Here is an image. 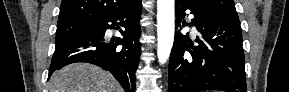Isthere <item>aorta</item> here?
<instances>
[{
  "mask_svg": "<svg viewBox=\"0 0 289 92\" xmlns=\"http://www.w3.org/2000/svg\"><path fill=\"white\" fill-rule=\"evenodd\" d=\"M174 0H157V56L160 64L168 60L174 41Z\"/></svg>",
  "mask_w": 289,
  "mask_h": 92,
  "instance_id": "aorta-1",
  "label": "aorta"
}]
</instances>
